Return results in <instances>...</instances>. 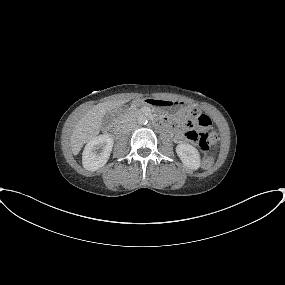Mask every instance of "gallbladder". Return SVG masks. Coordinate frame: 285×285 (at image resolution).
<instances>
[{
	"instance_id": "bac80fb5",
	"label": "gallbladder",
	"mask_w": 285,
	"mask_h": 285,
	"mask_svg": "<svg viewBox=\"0 0 285 285\" xmlns=\"http://www.w3.org/2000/svg\"><path fill=\"white\" fill-rule=\"evenodd\" d=\"M114 119H115V114L112 111H108L103 116L102 122L104 125H110L113 123Z\"/></svg>"
}]
</instances>
